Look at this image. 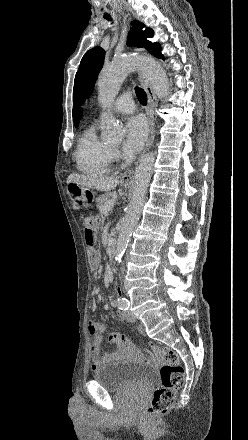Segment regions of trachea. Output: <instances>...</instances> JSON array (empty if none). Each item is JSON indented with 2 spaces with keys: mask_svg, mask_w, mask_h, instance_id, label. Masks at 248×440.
<instances>
[{
  "mask_svg": "<svg viewBox=\"0 0 248 440\" xmlns=\"http://www.w3.org/2000/svg\"><path fill=\"white\" fill-rule=\"evenodd\" d=\"M104 18L107 20H111V17L107 16V15L104 16ZM135 92H136V95H137L139 102L142 105H146L147 104V95H146L145 91L142 88L136 87Z\"/></svg>",
  "mask_w": 248,
  "mask_h": 440,
  "instance_id": "obj_1",
  "label": "trachea"
}]
</instances>
